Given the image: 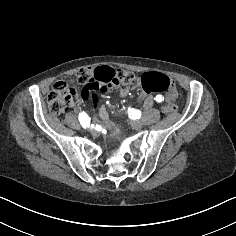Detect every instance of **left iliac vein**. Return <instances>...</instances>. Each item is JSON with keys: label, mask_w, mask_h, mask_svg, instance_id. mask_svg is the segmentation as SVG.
<instances>
[{"label": "left iliac vein", "mask_w": 236, "mask_h": 236, "mask_svg": "<svg viewBox=\"0 0 236 236\" xmlns=\"http://www.w3.org/2000/svg\"><path fill=\"white\" fill-rule=\"evenodd\" d=\"M132 129L133 130H140L141 129V124L138 121L133 122L132 124Z\"/></svg>", "instance_id": "left-iliac-vein-1"}]
</instances>
